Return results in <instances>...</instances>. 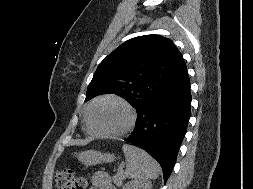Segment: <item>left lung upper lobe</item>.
I'll return each mask as SVG.
<instances>
[{"label":"left lung upper lobe","mask_w":253,"mask_h":189,"mask_svg":"<svg viewBox=\"0 0 253 189\" xmlns=\"http://www.w3.org/2000/svg\"><path fill=\"white\" fill-rule=\"evenodd\" d=\"M185 65L182 54L168 38L144 35L130 39L98 65L85 101L113 93L124 97L138 112L166 88Z\"/></svg>","instance_id":"obj_1"}]
</instances>
